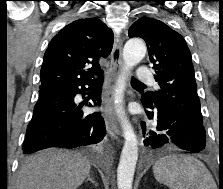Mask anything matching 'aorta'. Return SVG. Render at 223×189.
Segmentation results:
<instances>
[{"label": "aorta", "instance_id": "obj_1", "mask_svg": "<svg viewBox=\"0 0 223 189\" xmlns=\"http://www.w3.org/2000/svg\"><path fill=\"white\" fill-rule=\"evenodd\" d=\"M143 40L133 38L126 42L123 49V69L114 88L115 110L121 123L124 145L117 168L118 189H132V183L138 160V141L132 125L125 115L123 97L130 70L137 65L146 54Z\"/></svg>", "mask_w": 223, "mask_h": 189}]
</instances>
